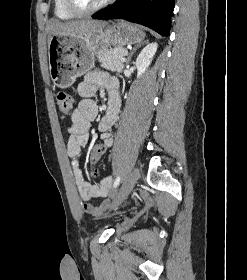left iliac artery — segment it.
Instances as JSON below:
<instances>
[{
    "instance_id": "obj_1",
    "label": "left iliac artery",
    "mask_w": 247,
    "mask_h": 280,
    "mask_svg": "<svg viewBox=\"0 0 247 280\" xmlns=\"http://www.w3.org/2000/svg\"><path fill=\"white\" fill-rule=\"evenodd\" d=\"M120 183V176H118L114 182V188H116Z\"/></svg>"
}]
</instances>
